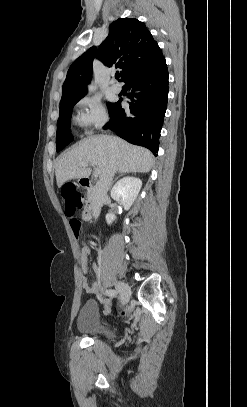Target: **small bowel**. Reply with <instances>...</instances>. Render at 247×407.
Listing matches in <instances>:
<instances>
[{
	"mask_svg": "<svg viewBox=\"0 0 247 407\" xmlns=\"http://www.w3.org/2000/svg\"><path fill=\"white\" fill-rule=\"evenodd\" d=\"M89 248L87 246H83L81 249V255H80V262H81V271L83 274V281H82V285L84 290L87 293H92V294H96L99 291V283L98 282H94L92 285H89L87 282V272H88V267H87V263H88V256H89ZM93 270L95 273H97L99 271V268L97 265H93ZM103 304L104 306L108 309L111 306V301L109 299H104L103 300Z\"/></svg>",
	"mask_w": 247,
	"mask_h": 407,
	"instance_id": "1",
	"label": "small bowel"
}]
</instances>
